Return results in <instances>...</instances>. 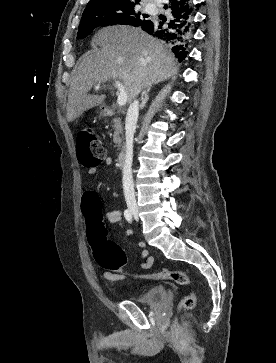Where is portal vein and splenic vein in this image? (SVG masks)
Here are the masks:
<instances>
[{"mask_svg": "<svg viewBox=\"0 0 276 363\" xmlns=\"http://www.w3.org/2000/svg\"><path fill=\"white\" fill-rule=\"evenodd\" d=\"M114 86L118 89L117 104L119 106H124L127 102V92L125 90V87L119 80L114 81ZM99 88L100 85L95 86V89L98 90Z\"/></svg>", "mask_w": 276, "mask_h": 363, "instance_id": "1", "label": "portal vein and splenic vein"}]
</instances>
